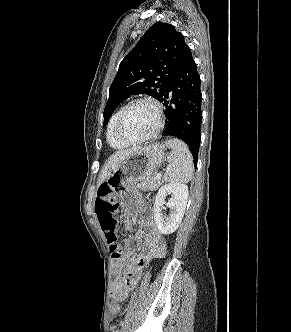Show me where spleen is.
I'll return each mask as SVG.
<instances>
[{"instance_id":"3e777b00","label":"spleen","mask_w":291,"mask_h":332,"mask_svg":"<svg viewBox=\"0 0 291 332\" xmlns=\"http://www.w3.org/2000/svg\"><path fill=\"white\" fill-rule=\"evenodd\" d=\"M165 145L171 148L168 155V167L163 178L166 182L186 183L194 174L193 157L187 145L177 138L169 139Z\"/></svg>"}]
</instances>
